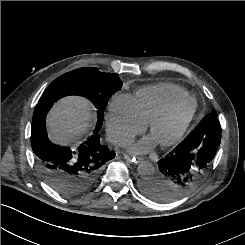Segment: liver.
Instances as JSON below:
<instances>
[{
    "label": "liver",
    "mask_w": 245,
    "mask_h": 245,
    "mask_svg": "<svg viewBox=\"0 0 245 245\" xmlns=\"http://www.w3.org/2000/svg\"><path fill=\"white\" fill-rule=\"evenodd\" d=\"M90 103L80 97L70 96L57 103L47 118L51 140L67 144L83 135L92 119Z\"/></svg>",
    "instance_id": "obj_1"
}]
</instances>
